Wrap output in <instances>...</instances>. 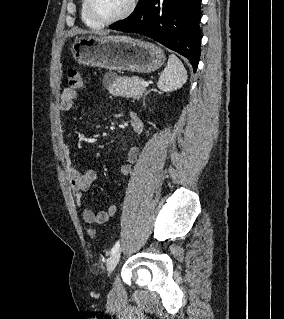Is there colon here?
<instances>
[{
	"instance_id": "5ec220e1",
	"label": "colon",
	"mask_w": 284,
	"mask_h": 319,
	"mask_svg": "<svg viewBox=\"0 0 284 319\" xmlns=\"http://www.w3.org/2000/svg\"><path fill=\"white\" fill-rule=\"evenodd\" d=\"M67 83L68 86L72 89H82L85 86V81L81 70L78 68H70L67 73ZM88 235L90 238H95V229H88Z\"/></svg>"
}]
</instances>
